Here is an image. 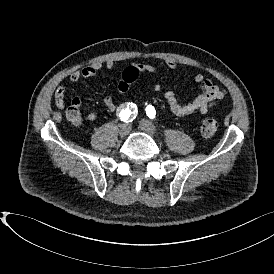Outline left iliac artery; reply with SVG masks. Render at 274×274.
Instances as JSON below:
<instances>
[{
	"label": "left iliac artery",
	"mask_w": 274,
	"mask_h": 274,
	"mask_svg": "<svg viewBox=\"0 0 274 274\" xmlns=\"http://www.w3.org/2000/svg\"><path fill=\"white\" fill-rule=\"evenodd\" d=\"M146 114L147 116L150 118V119H153L155 118V115H156V111L154 109V107L152 105H148L146 107Z\"/></svg>",
	"instance_id": "left-iliac-artery-1"
}]
</instances>
